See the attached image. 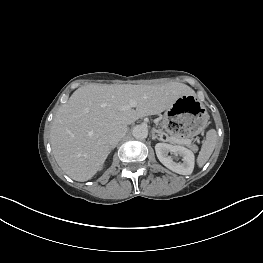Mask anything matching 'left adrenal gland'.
I'll return each mask as SVG.
<instances>
[{"label": "left adrenal gland", "mask_w": 263, "mask_h": 263, "mask_svg": "<svg viewBox=\"0 0 263 263\" xmlns=\"http://www.w3.org/2000/svg\"><path fill=\"white\" fill-rule=\"evenodd\" d=\"M152 139H153V140L157 139V140H159V141H162V140H163L162 138L158 137V136L155 134V131H152Z\"/></svg>", "instance_id": "a2214340"}]
</instances>
